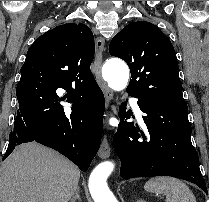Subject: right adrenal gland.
Instances as JSON below:
<instances>
[{"mask_svg": "<svg viewBox=\"0 0 209 202\" xmlns=\"http://www.w3.org/2000/svg\"><path fill=\"white\" fill-rule=\"evenodd\" d=\"M80 188L77 187L75 191V195L70 199V202H75L76 200H79L81 202V197H80Z\"/></svg>", "mask_w": 209, "mask_h": 202, "instance_id": "obj_1", "label": "right adrenal gland"}]
</instances>
